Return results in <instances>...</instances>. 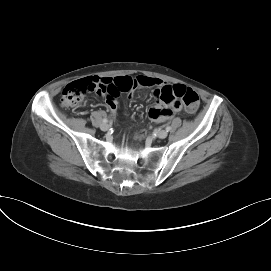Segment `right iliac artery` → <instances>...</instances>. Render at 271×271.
<instances>
[{"mask_svg":"<svg viewBox=\"0 0 271 271\" xmlns=\"http://www.w3.org/2000/svg\"><path fill=\"white\" fill-rule=\"evenodd\" d=\"M108 122V120L105 118V119H103V123H107Z\"/></svg>","mask_w":271,"mask_h":271,"instance_id":"obj_1","label":"right iliac artery"}]
</instances>
